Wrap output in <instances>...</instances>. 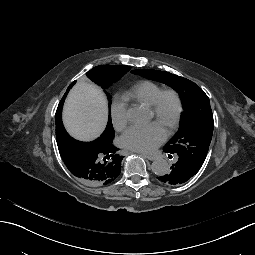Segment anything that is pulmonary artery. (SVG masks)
Instances as JSON below:
<instances>
[{"label":"pulmonary artery","instance_id":"obj_1","mask_svg":"<svg viewBox=\"0 0 255 255\" xmlns=\"http://www.w3.org/2000/svg\"><path fill=\"white\" fill-rule=\"evenodd\" d=\"M171 159H172L173 161H176V160L178 159V156H177L176 154H173V155L171 156Z\"/></svg>","mask_w":255,"mask_h":255}]
</instances>
